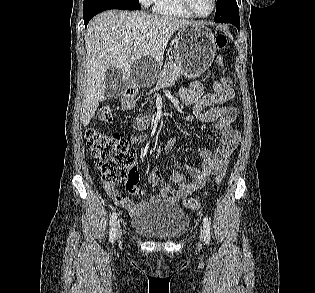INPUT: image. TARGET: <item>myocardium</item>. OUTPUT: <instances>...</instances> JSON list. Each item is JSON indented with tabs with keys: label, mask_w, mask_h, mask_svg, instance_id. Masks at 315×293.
Returning <instances> with one entry per match:
<instances>
[{
	"label": "myocardium",
	"mask_w": 315,
	"mask_h": 293,
	"mask_svg": "<svg viewBox=\"0 0 315 293\" xmlns=\"http://www.w3.org/2000/svg\"><path fill=\"white\" fill-rule=\"evenodd\" d=\"M213 5L212 8L210 10V12H208L207 14H199L197 13L192 5V0H183L184 6L185 8L188 10V12L193 16V17H197V18H206L209 17L216 9L217 6V0H212Z\"/></svg>",
	"instance_id": "1"
}]
</instances>
